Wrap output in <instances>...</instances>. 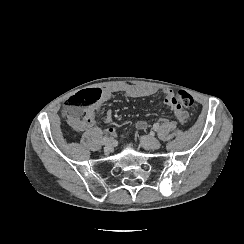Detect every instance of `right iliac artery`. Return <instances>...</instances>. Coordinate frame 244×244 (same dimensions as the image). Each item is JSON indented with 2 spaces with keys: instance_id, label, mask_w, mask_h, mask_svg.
Segmentation results:
<instances>
[{
  "instance_id": "1",
  "label": "right iliac artery",
  "mask_w": 244,
  "mask_h": 244,
  "mask_svg": "<svg viewBox=\"0 0 244 244\" xmlns=\"http://www.w3.org/2000/svg\"><path fill=\"white\" fill-rule=\"evenodd\" d=\"M108 135H105L102 139V144H105V142L108 140Z\"/></svg>"
}]
</instances>
